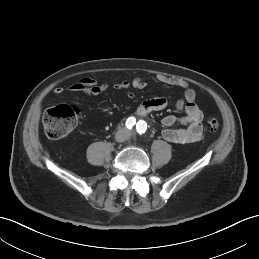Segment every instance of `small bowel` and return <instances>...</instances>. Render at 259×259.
I'll use <instances>...</instances> for the list:
<instances>
[{"label": "small bowel", "mask_w": 259, "mask_h": 259, "mask_svg": "<svg viewBox=\"0 0 259 259\" xmlns=\"http://www.w3.org/2000/svg\"><path fill=\"white\" fill-rule=\"evenodd\" d=\"M157 79L165 84L176 86L183 89V98L177 100L176 108L185 112V116L177 118L174 115H167L162 119L165 129L162 130V137L171 143L188 144L194 143L203 137V112L196 104V93L189 83L181 78L158 75ZM146 82L141 77H135L132 80H123L114 85L117 91L128 92L131 88L144 89ZM108 90V84L99 83L97 80L86 77L72 84L67 89L56 87L54 93L62 95L66 91L82 92L88 96H97ZM129 96H132L128 92ZM168 105L164 97H155L142 101L136 108V114L140 117L146 116L152 112L161 111ZM184 126L183 128H172L175 124Z\"/></svg>", "instance_id": "c3829d8e"}]
</instances>
